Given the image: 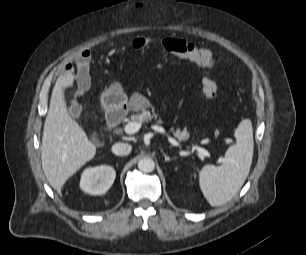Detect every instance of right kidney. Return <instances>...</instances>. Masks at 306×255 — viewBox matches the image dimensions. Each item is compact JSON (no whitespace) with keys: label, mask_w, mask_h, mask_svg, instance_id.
I'll use <instances>...</instances> for the list:
<instances>
[{"label":"right kidney","mask_w":306,"mask_h":255,"mask_svg":"<svg viewBox=\"0 0 306 255\" xmlns=\"http://www.w3.org/2000/svg\"><path fill=\"white\" fill-rule=\"evenodd\" d=\"M116 172L111 166L101 165L84 170L80 180L81 189L91 195L105 194L112 186Z\"/></svg>","instance_id":"right-kidney-1"}]
</instances>
